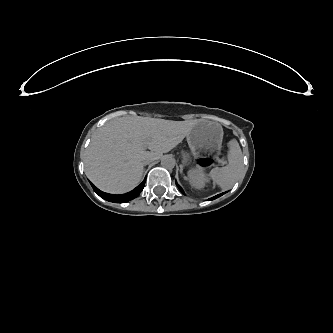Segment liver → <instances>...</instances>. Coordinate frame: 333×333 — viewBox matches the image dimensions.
<instances>
[{
	"label": "liver",
	"instance_id": "obj_1",
	"mask_svg": "<svg viewBox=\"0 0 333 333\" xmlns=\"http://www.w3.org/2000/svg\"><path fill=\"white\" fill-rule=\"evenodd\" d=\"M143 130L153 134L93 140L87 151L86 167L90 179L99 189L110 193L132 190L142 179L143 160L159 158L183 139L182 134L154 135L159 127L153 121H145Z\"/></svg>",
	"mask_w": 333,
	"mask_h": 333
}]
</instances>
